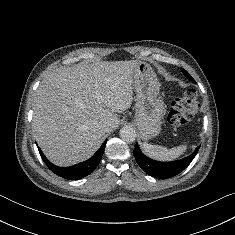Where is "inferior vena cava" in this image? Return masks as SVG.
Here are the masks:
<instances>
[{
    "label": "inferior vena cava",
    "mask_w": 235,
    "mask_h": 235,
    "mask_svg": "<svg viewBox=\"0 0 235 235\" xmlns=\"http://www.w3.org/2000/svg\"><path fill=\"white\" fill-rule=\"evenodd\" d=\"M102 129H106V125H103V126H102Z\"/></svg>",
    "instance_id": "1"
}]
</instances>
